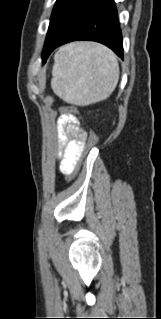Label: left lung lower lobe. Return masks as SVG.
Returning a JSON list of instances; mask_svg holds the SVG:
<instances>
[{
	"mask_svg": "<svg viewBox=\"0 0 161 319\" xmlns=\"http://www.w3.org/2000/svg\"><path fill=\"white\" fill-rule=\"evenodd\" d=\"M77 40L102 43L123 59L122 33L114 0H102L92 8L61 39L44 52L43 62L57 47Z\"/></svg>",
	"mask_w": 161,
	"mask_h": 319,
	"instance_id": "left-lung-lower-lobe-1",
	"label": "left lung lower lobe"
}]
</instances>
